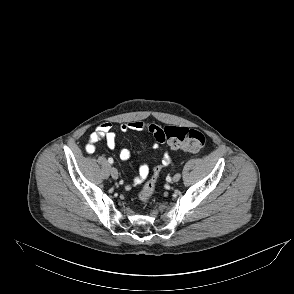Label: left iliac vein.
<instances>
[{"instance_id":"1","label":"left iliac vein","mask_w":294,"mask_h":294,"mask_svg":"<svg viewBox=\"0 0 294 294\" xmlns=\"http://www.w3.org/2000/svg\"><path fill=\"white\" fill-rule=\"evenodd\" d=\"M180 178H181V174L178 173V174L174 175V177L172 178V181L177 182L180 180Z\"/></svg>"}]
</instances>
